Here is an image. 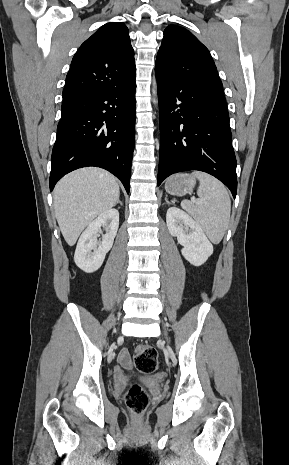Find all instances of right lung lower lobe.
<instances>
[{
	"label": "right lung lower lobe",
	"mask_w": 289,
	"mask_h": 465,
	"mask_svg": "<svg viewBox=\"0 0 289 465\" xmlns=\"http://www.w3.org/2000/svg\"><path fill=\"white\" fill-rule=\"evenodd\" d=\"M135 76L125 85L78 103L61 118L52 151L50 191L65 174L86 166L101 167L123 183L127 193L135 146Z\"/></svg>",
	"instance_id": "obj_1"
}]
</instances>
